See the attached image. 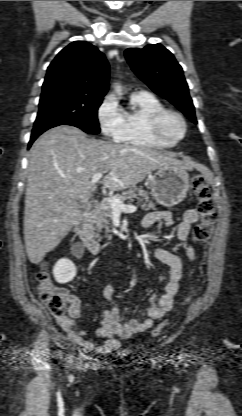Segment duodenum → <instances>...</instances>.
<instances>
[{
	"label": "duodenum",
	"mask_w": 242,
	"mask_h": 416,
	"mask_svg": "<svg viewBox=\"0 0 242 416\" xmlns=\"http://www.w3.org/2000/svg\"><path fill=\"white\" fill-rule=\"evenodd\" d=\"M98 206L96 201L89 202L87 210L79 217L75 226L76 234L79 239L93 255H101L103 253L100 242L93 236L90 229L91 215L97 210Z\"/></svg>",
	"instance_id": "410a0bca"
}]
</instances>
